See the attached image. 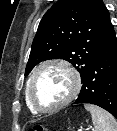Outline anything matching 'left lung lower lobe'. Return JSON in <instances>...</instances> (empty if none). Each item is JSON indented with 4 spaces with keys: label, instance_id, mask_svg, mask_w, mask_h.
Returning a JSON list of instances; mask_svg holds the SVG:
<instances>
[{
    "label": "left lung lower lobe",
    "instance_id": "obj_1",
    "mask_svg": "<svg viewBox=\"0 0 117 131\" xmlns=\"http://www.w3.org/2000/svg\"><path fill=\"white\" fill-rule=\"evenodd\" d=\"M82 88L73 104H95L117 118V38L112 25L109 40L81 80Z\"/></svg>",
    "mask_w": 117,
    "mask_h": 131
}]
</instances>
